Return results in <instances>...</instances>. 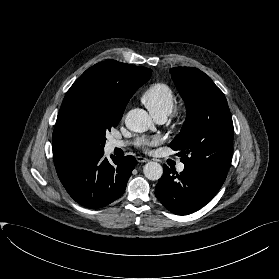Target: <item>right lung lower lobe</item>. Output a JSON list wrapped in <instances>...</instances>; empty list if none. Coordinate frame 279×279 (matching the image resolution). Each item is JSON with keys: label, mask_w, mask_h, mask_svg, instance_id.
I'll use <instances>...</instances> for the list:
<instances>
[{"label": "right lung lower lobe", "mask_w": 279, "mask_h": 279, "mask_svg": "<svg viewBox=\"0 0 279 279\" xmlns=\"http://www.w3.org/2000/svg\"><path fill=\"white\" fill-rule=\"evenodd\" d=\"M103 155L104 151L72 159L56 167L67 192L84 207L102 208L118 199L136 165L133 156H113V162H109Z\"/></svg>", "instance_id": "1"}]
</instances>
